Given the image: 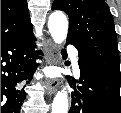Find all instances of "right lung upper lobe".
<instances>
[{
  "mask_svg": "<svg viewBox=\"0 0 121 113\" xmlns=\"http://www.w3.org/2000/svg\"><path fill=\"white\" fill-rule=\"evenodd\" d=\"M32 29L26 0H1V44Z\"/></svg>",
  "mask_w": 121,
  "mask_h": 113,
  "instance_id": "cb5924a9",
  "label": "right lung upper lobe"
}]
</instances>
